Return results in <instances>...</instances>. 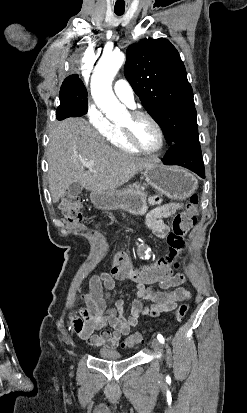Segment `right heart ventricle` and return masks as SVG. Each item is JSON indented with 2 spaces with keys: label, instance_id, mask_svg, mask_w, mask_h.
<instances>
[{
  "label": "right heart ventricle",
  "instance_id": "e07e8e85",
  "mask_svg": "<svg viewBox=\"0 0 247 413\" xmlns=\"http://www.w3.org/2000/svg\"><path fill=\"white\" fill-rule=\"evenodd\" d=\"M104 137L111 145H116V151H121L122 154L141 155V152L127 142L120 127L111 126L109 133H104Z\"/></svg>",
  "mask_w": 247,
  "mask_h": 413
}]
</instances>
